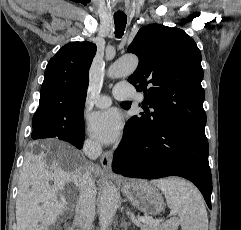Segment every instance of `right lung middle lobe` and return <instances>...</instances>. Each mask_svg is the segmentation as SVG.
Returning a JSON list of instances; mask_svg holds the SVG:
<instances>
[{
  "label": "right lung middle lobe",
  "mask_w": 241,
  "mask_h": 230,
  "mask_svg": "<svg viewBox=\"0 0 241 230\" xmlns=\"http://www.w3.org/2000/svg\"><path fill=\"white\" fill-rule=\"evenodd\" d=\"M83 110L84 107L60 108L34 115L32 139L57 137L64 141L84 140Z\"/></svg>",
  "instance_id": "1"
}]
</instances>
